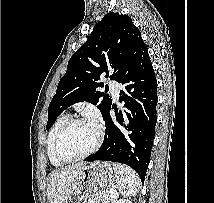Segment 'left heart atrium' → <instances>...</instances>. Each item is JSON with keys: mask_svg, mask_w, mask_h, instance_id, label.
<instances>
[{"mask_svg": "<svg viewBox=\"0 0 214 203\" xmlns=\"http://www.w3.org/2000/svg\"><path fill=\"white\" fill-rule=\"evenodd\" d=\"M93 120L97 121V116L96 115L93 116Z\"/></svg>", "mask_w": 214, "mask_h": 203, "instance_id": "left-heart-atrium-1", "label": "left heart atrium"}]
</instances>
